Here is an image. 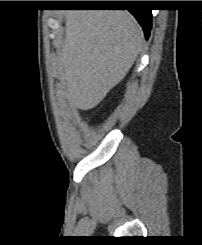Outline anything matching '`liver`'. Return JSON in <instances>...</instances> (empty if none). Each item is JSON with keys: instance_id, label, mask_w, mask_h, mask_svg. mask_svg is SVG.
I'll use <instances>...</instances> for the list:
<instances>
[{"instance_id": "6515ba94", "label": "liver", "mask_w": 202, "mask_h": 245, "mask_svg": "<svg viewBox=\"0 0 202 245\" xmlns=\"http://www.w3.org/2000/svg\"><path fill=\"white\" fill-rule=\"evenodd\" d=\"M58 64L72 108L99 104L127 74L142 50L143 31L125 10L66 12Z\"/></svg>"}]
</instances>
